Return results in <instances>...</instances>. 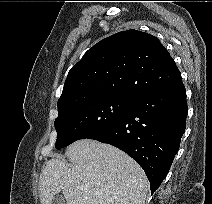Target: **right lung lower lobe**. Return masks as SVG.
I'll return each mask as SVG.
<instances>
[{
	"instance_id": "1",
	"label": "right lung lower lobe",
	"mask_w": 212,
	"mask_h": 204,
	"mask_svg": "<svg viewBox=\"0 0 212 204\" xmlns=\"http://www.w3.org/2000/svg\"><path fill=\"white\" fill-rule=\"evenodd\" d=\"M186 117V90L179 80L133 99L120 121L88 139L108 143L131 156L144 169L153 193L166 177L179 149Z\"/></svg>"
}]
</instances>
